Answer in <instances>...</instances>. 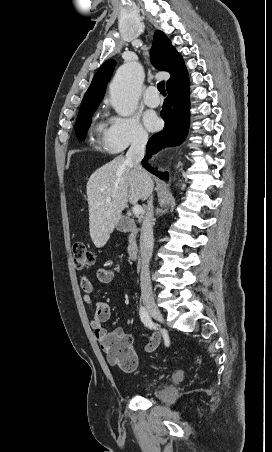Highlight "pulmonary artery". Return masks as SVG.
Here are the masks:
<instances>
[{
	"mask_svg": "<svg viewBox=\"0 0 272 452\" xmlns=\"http://www.w3.org/2000/svg\"><path fill=\"white\" fill-rule=\"evenodd\" d=\"M144 102L149 107H157L160 104V97L154 86H149L144 94Z\"/></svg>",
	"mask_w": 272,
	"mask_h": 452,
	"instance_id": "e3ab8cb5",
	"label": "pulmonary artery"
}]
</instances>
